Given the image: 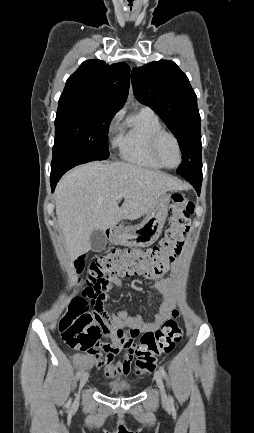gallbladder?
<instances>
[{"mask_svg":"<svg viewBox=\"0 0 254 433\" xmlns=\"http://www.w3.org/2000/svg\"><path fill=\"white\" fill-rule=\"evenodd\" d=\"M91 250L94 252H100L105 249L107 244V238L103 231L93 230L90 235Z\"/></svg>","mask_w":254,"mask_h":433,"instance_id":"obj_1","label":"gallbladder"}]
</instances>
